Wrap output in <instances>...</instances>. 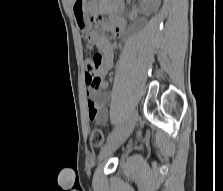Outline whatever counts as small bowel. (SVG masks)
<instances>
[{"instance_id":"c3829d8e","label":"small bowel","mask_w":223,"mask_h":191,"mask_svg":"<svg viewBox=\"0 0 223 191\" xmlns=\"http://www.w3.org/2000/svg\"><path fill=\"white\" fill-rule=\"evenodd\" d=\"M98 22L100 28L104 29L108 27V24L103 21L102 17L99 18ZM112 29L115 36H122L125 30V24L123 21H116ZM88 41L95 45L99 51L97 55L100 56L99 74L101 76V83L99 86L94 87L89 85L87 89L88 99L86 104L88 117L94 123L104 125L109 120V112L107 109L109 96L101 92V90L108 87V82L104 77L113 67L114 52L109 40L99 32H91L88 35Z\"/></svg>"}]
</instances>
